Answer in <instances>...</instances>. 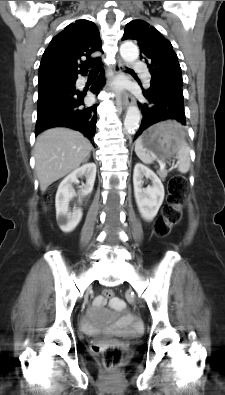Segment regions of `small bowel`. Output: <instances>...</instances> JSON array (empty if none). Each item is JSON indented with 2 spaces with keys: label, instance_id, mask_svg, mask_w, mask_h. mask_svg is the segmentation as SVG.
<instances>
[{
  "label": "small bowel",
  "instance_id": "small-bowel-1",
  "mask_svg": "<svg viewBox=\"0 0 225 395\" xmlns=\"http://www.w3.org/2000/svg\"><path fill=\"white\" fill-rule=\"evenodd\" d=\"M106 297L107 296L101 295L94 300L93 313L94 315H102L105 321L109 322L112 318V314L103 311ZM110 302L111 304H108L107 306L108 311H118L121 316L115 318L111 324L106 326V330L109 333L127 335L140 329V323L134 318V316L129 313H125L126 301L122 300L121 296H111ZM83 328L88 333H94L96 330V327L88 320L84 322Z\"/></svg>",
  "mask_w": 225,
  "mask_h": 395
}]
</instances>
